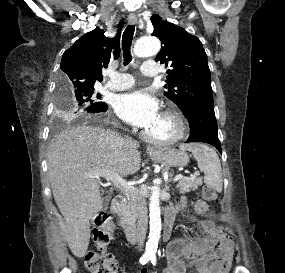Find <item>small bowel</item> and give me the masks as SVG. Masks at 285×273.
Returning a JSON list of instances; mask_svg holds the SVG:
<instances>
[{
    "mask_svg": "<svg viewBox=\"0 0 285 273\" xmlns=\"http://www.w3.org/2000/svg\"><path fill=\"white\" fill-rule=\"evenodd\" d=\"M184 204L183 201L171 205L169 209L176 212ZM195 212L201 215L210 213L209 205L203 200L192 203ZM205 234L199 242L185 240L173 241L166 251L168 267L165 273H189L194 269L196 273H228L232 263L233 243L224 236L220 227L213 220L205 219L201 222ZM140 273H148L141 270Z\"/></svg>",
    "mask_w": 285,
    "mask_h": 273,
    "instance_id": "c3829d8e",
    "label": "small bowel"
}]
</instances>
